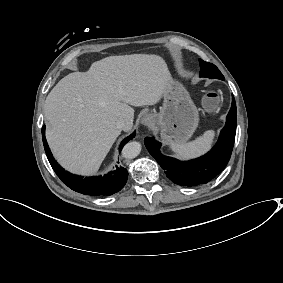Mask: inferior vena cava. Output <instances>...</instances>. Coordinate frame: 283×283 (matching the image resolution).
<instances>
[{
	"label": "inferior vena cava",
	"instance_id": "inferior-vena-cava-1",
	"mask_svg": "<svg viewBox=\"0 0 283 283\" xmlns=\"http://www.w3.org/2000/svg\"><path fill=\"white\" fill-rule=\"evenodd\" d=\"M116 127L120 130L128 131L131 129V126H129L123 119L117 121Z\"/></svg>",
	"mask_w": 283,
	"mask_h": 283
}]
</instances>
